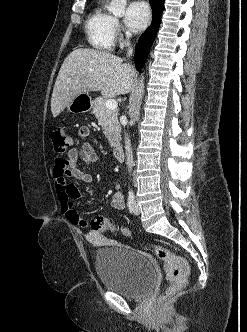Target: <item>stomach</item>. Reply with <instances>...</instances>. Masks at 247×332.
Returning <instances> with one entry per match:
<instances>
[{
  "label": "stomach",
  "instance_id": "1",
  "mask_svg": "<svg viewBox=\"0 0 247 332\" xmlns=\"http://www.w3.org/2000/svg\"><path fill=\"white\" fill-rule=\"evenodd\" d=\"M93 106V101L88 94L77 95L66 107L70 112L88 111Z\"/></svg>",
  "mask_w": 247,
  "mask_h": 332
}]
</instances>
